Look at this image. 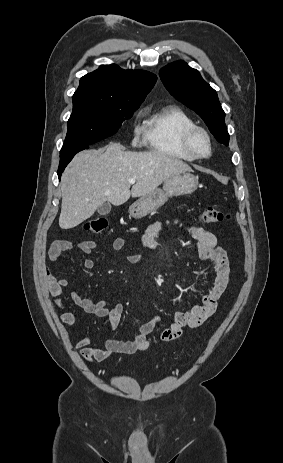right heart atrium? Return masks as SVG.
Returning a JSON list of instances; mask_svg holds the SVG:
<instances>
[{"mask_svg": "<svg viewBox=\"0 0 283 463\" xmlns=\"http://www.w3.org/2000/svg\"><path fill=\"white\" fill-rule=\"evenodd\" d=\"M134 132H135V139H136L138 137V135H139V128L135 127Z\"/></svg>", "mask_w": 283, "mask_h": 463, "instance_id": "right-heart-atrium-1", "label": "right heart atrium"}]
</instances>
